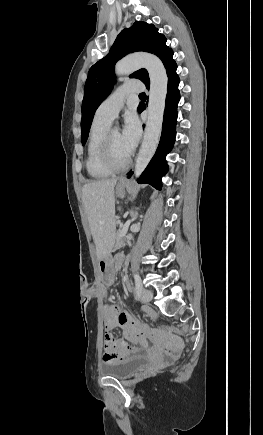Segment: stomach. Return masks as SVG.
<instances>
[{"label": "stomach", "instance_id": "obj_1", "mask_svg": "<svg viewBox=\"0 0 263 435\" xmlns=\"http://www.w3.org/2000/svg\"><path fill=\"white\" fill-rule=\"evenodd\" d=\"M128 185V182L125 179H121L119 184L116 187V194L119 197H123L125 195V186ZM100 281L104 282V286L106 288H111L113 286V282L117 281V274L114 273L112 269V263L109 255L104 256L100 259L99 263Z\"/></svg>", "mask_w": 263, "mask_h": 435}]
</instances>
